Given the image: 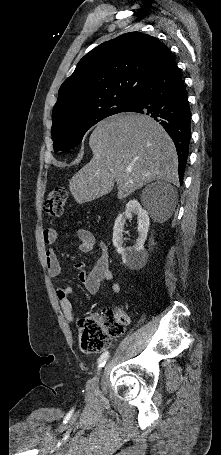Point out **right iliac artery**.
Segmentation results:
<instances>
[{
    "mask_svg": "<svg viewBox=\"0 0 221 455\" xmlns=\"http://www.w3.org/2000/svg\"><path fill=\"white\" fill-rule=\"evenodd\" d=\"M108 357H109V352H108V351L104 352V353L100 356V358H99V360H98V369L102 368V367L105 365V363H106Z\"/></svg>",
    "mask_w": 221,
    "mask_h": 455,
    "instance_id": "right-iliac-artery-1",
    "label": "right iliac artery"
}]
</instances>
